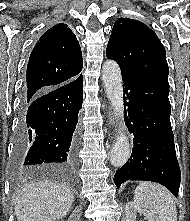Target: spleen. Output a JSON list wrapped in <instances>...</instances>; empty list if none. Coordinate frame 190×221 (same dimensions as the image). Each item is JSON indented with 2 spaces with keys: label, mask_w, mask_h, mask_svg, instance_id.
<instances>
[{
  "label": "spleen",
  "mask_w": 190,
  "mask_h": 221,
  "mask_svg": "<svg viewBox=\"0 0 190 221\" xmlns=\"http://www.w3.org/2000/svg\"><path fill=\"white\" fill-rule=\"evenodd\" d=\"M134 203L149 209L160 221H177V209L172 194L163 186L141 182L134 192Z\"/></svg>",
  "instance_id": "obj_1"
}]
</instances>
